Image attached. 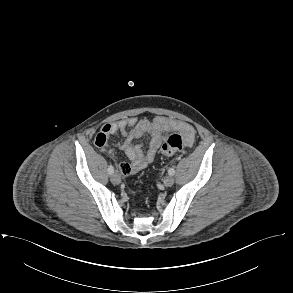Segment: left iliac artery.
I'll list each match as a JSON object with an SVG mask.
<instances>
[{
    "instance_id": "1",
    "label": "left iliac artery",
    "mask_w": 293,
    "mask_h": 293,
    "mask_svg": "<svg viewBox=\"0 0 293 293\" xmlns=\"http://www.w3.org/2000/svg\"><path fill=\"white\" fill-rule=\"evenodd\" d=\"M169 175H174L175 174V170L173 168H170L168 170Z\"/></svg>"
}]
</instances>
